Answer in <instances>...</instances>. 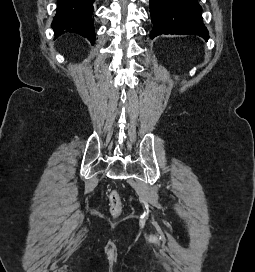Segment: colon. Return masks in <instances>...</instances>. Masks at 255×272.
Wrapping results in <instances>:
<instances>
[{
  "label": "colon",
  "mask_w": 255,
  "mask_h": 272,
  "mask_svg": "<svg viewBox=\"0 0 255 272\" xmlns=\"http://www.w3.org/2000/svg\"><path fill=\"white\" fill-rule=\"evenodd\" d=\"M110 212L112 216L118 217L122 212V202L117 190H112L108 195Z\"/></svg>",
  "instance_id": "5ec220e1"
}]
</instances>
